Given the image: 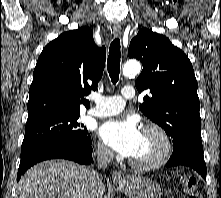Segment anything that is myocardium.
Wrapping results in <instances>:
<instances>
[{
  "label": "myocardium",
  "mask_w": 221,
  "mask_h": 198,
  "mask_svg": "<svg viewBox=\"0 0 221 198\" xmlns=\"http://www.w3.org/2000/svg\"><path fill=\"white\" fill-rule=\"evenodd\" d=\"M142 132L152 133L153 135H155L160 141L161 149L159 153L149 161L139 162L133 160L132 158H129L128 163L133 168L142 171L158 168L163 165L170 157L172 151L170 138L162 128L154 124L145 125L142 129Z\"/></svg>",
  "instance_id": "myocardium-1"
}]
</instances>
